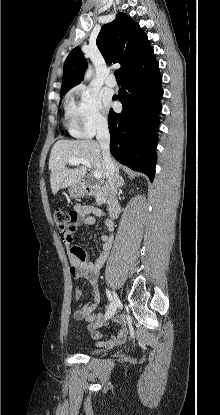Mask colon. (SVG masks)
<instances>
[{"label":"colon","instance_id":"obj_1","mask_svg":"<svg viewBox=\"0 0 220 415\" xmlns=\"http://www.w3.org/2000/svg\"><path fill=\"white\" fill-rule=\"evenodd\" d=\"M75 220V215L66 210H55L53 221L60 233L69 230L70 224Z\"/></svg>","mask_w":220,"mask_h":415}]
</instances>
